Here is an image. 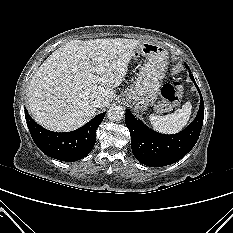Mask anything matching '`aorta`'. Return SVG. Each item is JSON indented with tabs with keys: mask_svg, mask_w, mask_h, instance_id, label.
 I'll return each instance as SVG.
<instances>
[{
	"mask_svg": "<svg viewBox=\"0 0 233 233\" xmlns=\"http://www.w3.org/2000/svg\"><path fill=\"white\" fill-rule=\"evenodd\" d=\"M125 115V109L122 106H112L108 111H107V116L109 120L111 121H119L121 120Z\"/></svg>",
	"mask_w": 233,
	"mask_h": 233,
	"instance_id": "aorta-1",
	"label": "aorta"
}]
</instances>
